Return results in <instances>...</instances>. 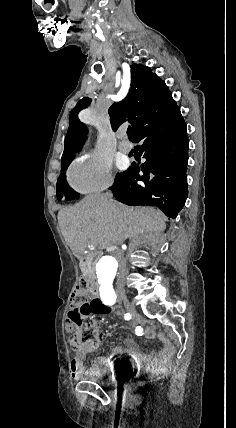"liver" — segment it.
Masks as SVG:
<instances>
[{"instance_id": "liver-1", "label": "liver", "mask_w": 236, "mask_h": 428, "mask_svg": "<svg viewBox=\"0 0 236 428\" xmlns=\"http://www.w3.org/2000/svg\"><path fill=\"white\" fill-rule=\"evenodd\" d=\"M62 236L76 256H84L88 246L109 250L128 238L164 232L162 212L154 208H128L106 200L102 194L85 196L72 208L58 214Z\"/></svg>"}]
</instances>
